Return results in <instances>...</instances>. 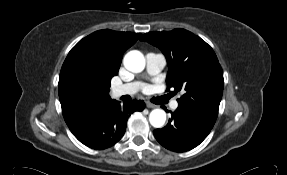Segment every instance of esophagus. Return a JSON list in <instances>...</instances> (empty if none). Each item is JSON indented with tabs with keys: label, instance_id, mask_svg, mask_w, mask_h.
Here are the masks:
<instances>
[{
	"label": "esophagus",
	"instance_id": "obj_1",
	"mask_svg": "<svg viewBox=\"0 0 287 175\" xmlns=\"http://www.w3.org/2000/svg\"><path fill=\"white\" fill-rule=\"evenodd\" d=\"M146 106L148 108H156L157 107L155 104L151 103L150 101H146Z\"/></svg>",
	"mask_w": 287,
	"mask_h": 175
}]
</instances>
